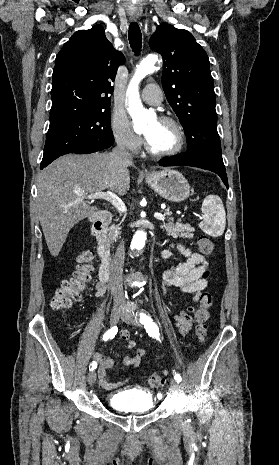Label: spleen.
Segmentation results:
<instances>
[{"instance_id": "3e777b00", "label": "spleen", "mask_w": 279, "mask_h": 465, "mask_svg": "<svg viewBox=\"0 0 279 465\" xmlns=\"http://www.w3.org/2000/svg\"><path fill=\"white\" fill-rule=\"evenodd\" d=\"M201 210L203 221L199 227L211 236H221L226 224V213L221 199L215 195L207 196L202 203Z\"/></svg>"}]
</instances>
